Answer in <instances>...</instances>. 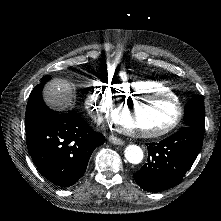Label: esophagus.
Returning <instances> with one entry per match:
<instances>
[{"mask_svg": "<svg viewBox=\"0 0 221 221\" xmlns=\"http://www.w3.org/2000/svg\"><path fill=\"white\" fill-rule=\"evenodd\" d=\"M108 140L110 143L114 145H123L125 143L122 139L115 137V136H109Z\"/></svg>", "mask_w": 221, "mask_h": 221, "instance_id": "obj_1", "label": "esophagus"}]
</instances>
